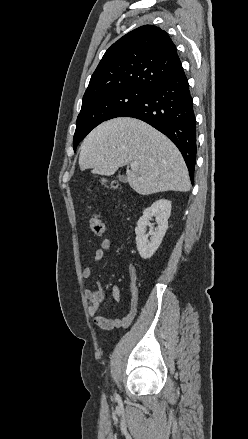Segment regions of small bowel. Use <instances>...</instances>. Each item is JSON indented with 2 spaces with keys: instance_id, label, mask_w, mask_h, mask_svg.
Wrapping results in <instances>:
<instances>
[{
  "instance_id": "c3829d8e",
  "label": "small bowel",
  "mask_w": 248,
  "mask_h": 439,
  "mask_svg": "<svg viewBox=\"0 0 248 439\" xmlns=\"http://www.w3.org/2000/svg\"><path fill=\"white\" fill-rule=\"evenodd\" d=\"M111 246L112 243L109 239H104L101 242L100 247L93 254L92 264L83 269V278L87 279L91 277L94 271V265L104 258L105 252L110 250ZM129 276V289L131 294L129 309L126 315L120 318H106L99 313L100 304L106 299L111 298L116 302L120 301L121 290L117 285H113L108 291L98 283L96 289L87 288L84 290V296L88 301V313L94 323L100 328L110 330L118 327H127L135 318L138 310L139 290L137 274L133 266L129 268Z\"/></svg>"
}]
</instances>
